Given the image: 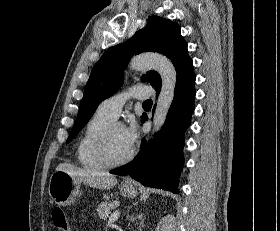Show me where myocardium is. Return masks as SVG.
<instances>
[{"mask_svg":"<svg viewBox=\"0 0 280 231\" xmlns=\"http://www.w3.org/2000/svg\"><path fill=\"white\" fill-rule=\"evenodd\" d=\"M116 125H120L117 122H110L101 131L96 144H95V156L101 161L106 167H119L127 164L133 157V152H129L125 157L119 160H114L110 157L108 152V139L112 128Z\"/></svg>","mask_w":280,"mask_h":231,"instance_id":"f54148a6","label":"myocardium"}]
</instances>
